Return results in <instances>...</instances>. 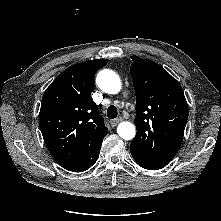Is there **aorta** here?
I'll list each match as a JSON object with an SVG mask.
<instances>
[{
  "label": "aorta",
  "instance_id": "aorta-1",
  "mask_svg": "<svg viewBox=\"0 0 221 221\" xmlns=\"http://www.w3.org/2000/svg\"><path fill=\"white\" fill-rule=\"evenodd\" d=\"M98 87L105 93L117 94L121 89V81L117 73L112 70H101L96 78ZM118 135L124 140H131L136 134L135 126L130 122H122L117 127Z\"/></svg>",
  "mask_w": 221,
  "mask_h": 221
}]
</instances>
